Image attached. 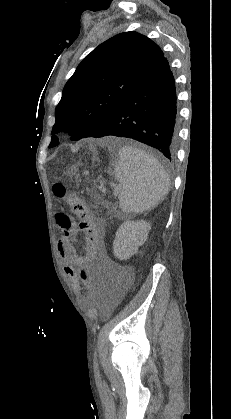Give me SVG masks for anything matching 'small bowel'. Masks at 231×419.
I'll list each match as a JSON object with an SVG mask.
<instances>
[{
	"label": "small bowel",
	"mask_w": 231,
	"mask_h": 419,
	"mask_svg": "<svg viewBox=\"0 0 231 419\" xmlns=\"http://www.w3.org/2000/svg\"><path fill=\"white\" fill-rule=\"evenodd\" d=\"M58 230L63 232V236L58 240L57 249L65 265L64 272L66 276L73 281L77 292H81V284L78 278L79 271L77 266L81 265L83 256H79L74 247V242L79 229L73 221L71 213H58ZM107 259L103 250H99L97 261L101 262ZM127 284L120 278H114L110 283L105 284L102 289L104 312H111L124 298L127 291Z\"/></svg>",
	"instance_id": "1"
}]
</instances>
